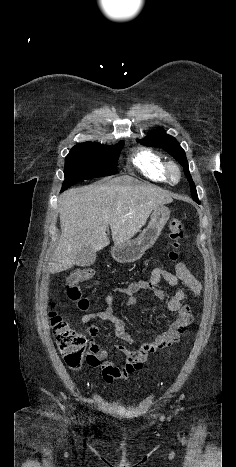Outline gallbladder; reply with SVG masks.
<instances>
[{
	"label": "gallbladder",
	"instance_id": "gallbladder-1",
	"mask_svg": "<svg viewBox=\"0 0 236 467\" xmlns=\"http://www.w3.org/2000/svg\"><path fill=\"white\" fill-rule=\"evenodd\" d=\"M96 260V252L91 247H83L80 249L75 258V263L80 267L91 266Z\"/></svg>",
	"mask_w": 236,
	"mask_h": 467
}]
</instances>
